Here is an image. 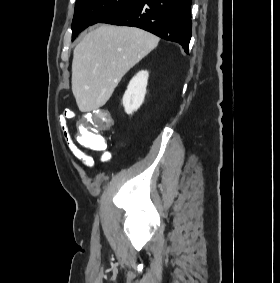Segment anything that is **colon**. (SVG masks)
<instances>
[{"label":"colon","mask_w":280,"mask_h":283,"mask_svg":"<svg viewBox=\"0 0 280 283\" xmlns=\"http://www.w3.org/2000/svg\"><path fill=\"white\" fill-rule=\"evenodd\" d=\"M66 113H73L66 110ZM81 119H93L99 127H88L87 121H78L76 124L77 142L88 149L102 151L106 147V140L99 132H111V127H115V122H109L113 119L110 110H84Z\"/></svg>","instance_id":"obj_1"}]
</instances>
